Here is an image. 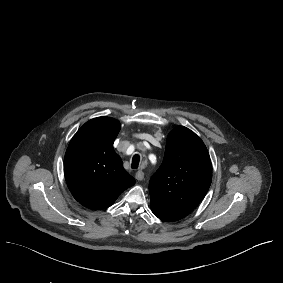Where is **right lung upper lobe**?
<instances>
[{
	"label": "right lung upper lobe",
	"mask_w": 283,
	"mask_h": 283,
	"mask_svg": "<svg viewBox=\"0 0 283 283\" xmlns=\"http://www.w3.org/2000/svg\"><path fill=\"white\" fill-rule=\"evenodd\" d=\"M119 131V121L94 118L77 131L67 148L64 170L68 188L89 209L111 206L124 190L135 184L113 148Z\"/></svg>",
	"instance_id": "1"
}]
</instances>
